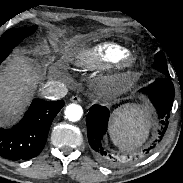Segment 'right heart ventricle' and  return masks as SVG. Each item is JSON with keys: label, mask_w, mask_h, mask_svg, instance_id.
I'll list each match as a JSON object with an SVG mask.
<instances>
[{"label": "right heart ventricle", "mask_w": 183, "mask_h": 183, "mask_svg": "<svg viewBox=\"0 0 183 183\" xmlns=\"http://www.w3.org/2000/svg\"><path fill=\"white\" fill-rule=\"evenodd\" d=\"M129 53V50L115 43H102L81 50L75 56V65L81 69H94L106 64L115 63L118 58Z\"/></svg>", "instance_id": "1"}]
</instances>
